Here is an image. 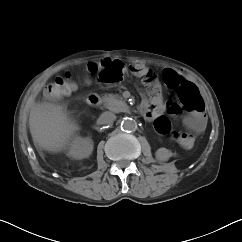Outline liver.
<instances>
[{"label": "liver", "instance_id": "6515ba94", "mask_svg": "<svg viewBox=\"0 0 242 242\" xmlns=\"http://www.w3.org/2000/svg\"><path fill=\"white\" fill-rule=\"evenodd\" d=\"M75 127L63 107L50 103L34 104L29 116V130L36 147L60 152L69 145Z\"/></svg>", "mask_w": 242, "mask_h": 242}]
</instances>
